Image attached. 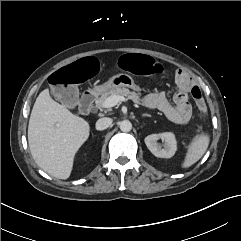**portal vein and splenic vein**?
Listing matches in <instances>:
<instances>
[{
	"label": "portal vein and splenic vein",
	"instance_id": "obj_1",
	"mask_svg": "<svg viewBox=\"0 0 241 241\" xmlns=\"http://www.w3.org/2000/svg\"><path fill=\"white\" fill-rule=\"evenodd\" d=\"M127 99L123 96H111L103 103V108H111L117 105L119 102H126Z\"/></svg>",
	"mask_w": 241,
	"mask_h": 241
}]
</instances>
